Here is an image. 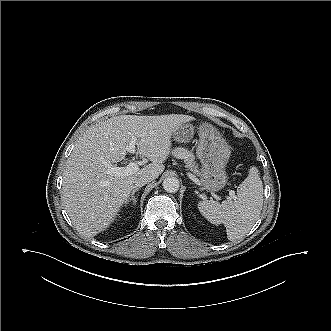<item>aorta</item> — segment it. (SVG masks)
I'll return each instance as SVG.
<instances>
[{
	"mask_svg": "<svg viewBox=\"0 0 331 331\" xmlns=\"http://www.w3.org/2000/svg\"><path fill=\"white\" fill-rule=\"evenodd\" d=\"M163 189L168 193H175L179 190L180 183L175 177H167L162 183Z\"/></svg>",
	"mask_w": 331,
	"mask_h": 331,
	"instance_id": "762f6f07",
	"label": "aorta"
}]
</instances>
